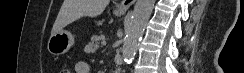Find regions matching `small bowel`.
<instances>
[{
    "label": "small bowel",
    "instance_id": "obj_1",
    "mask_svg": "<svg viewBox=\"0 0 244 73\" xmlns=\"http://www.w3.org/2000/svg\"><path fill=\"white\" fill-rule=\"evenodd\" d=\"M75 72L76 73H89L90 67L87 62L85 61H78L75 65Z\"/></svg>",
    "mask_w": 244,
    "mask_h": 73
}]
</instances>
